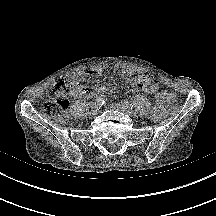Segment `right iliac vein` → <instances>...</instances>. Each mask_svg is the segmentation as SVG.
<instances>
[{
    "instance_id": "63e3f726",
    "label": "right iliac vein",
    "mask_w": 216,
    "mask_h": 216,
    "mask_svg": "<svg viewBox=\"0 0 216 216\" xmlns=\"http://www.w3.org/2000/svg\"><path fill=\"white\" fill-rule=\"evenodd\" d=\"M99 108L95 107L90 111L89 115L90 117H95L98 113Z\"/></svg>"
}]
</instances>
